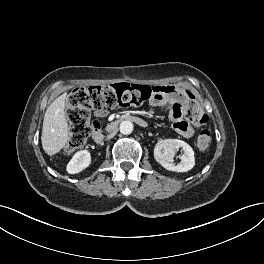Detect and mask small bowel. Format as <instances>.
<instances>
[{
	"label": "small bowel",
	"mask_w": 264,
	"mask_h": 264,
	"mask_svg": "<svg viewBox=\"0 0 264 264\" xmlns=\"http://www.w3.org/2000/svg\"><path fill=\"white\" fill-rule=\"evenodd\" d=\"M165 90L161 94L150 99L151 106L166 112L173 122L174 129L183 137L189 138L193 135L194 130L182 118L183 103L186 99L185 90L175 86H159ZM98 117L105 116V112L95 113Z\"/></svg>",
	"instance_id": "small-bowel-1"
}]
</instances>
